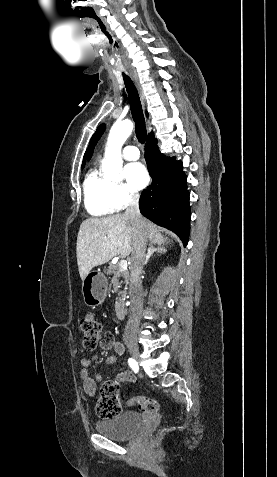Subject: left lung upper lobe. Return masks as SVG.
Returning <instances> with one entry per match:
<instances>
[{"instance_id":"5c2ea615","label":"left lung upper lobe","mask_w":277,"mask_h":477,"mask_svg":"<svg viewBox=\"0 0 277 477\" xmlns=\"http://www.w3.org/2000/svg\"><path fill=\"white\" fill-rule=\"evenodd\" d=\"M104 129H105V126L104 124L100 125L96 132L94 133V135L92 136L91 138V141H90V153H89V156H91L93 150H94V147L97 143V141L99 140V138L102 136L103 132H104Z\"/></svg>"}]
</instances>
